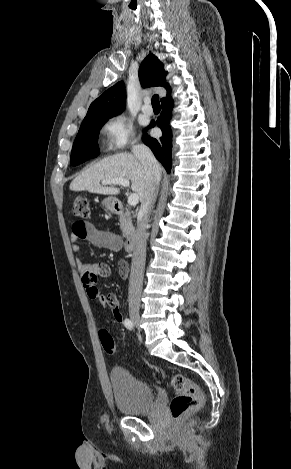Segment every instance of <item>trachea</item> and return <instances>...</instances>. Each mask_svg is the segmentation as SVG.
Returning a JSON list of instances; mask_svg holds the SVG:
<instances>
[{
  "label": "trachea",
  "mask_w": 291,
  "mask_h": 469,
  "mask_svg": "<svg viewBox=\"0 0 291 469\" xmlns=\"http://www.w3.org/2000/svg\"><path fill=\"white\" fill-rule=\"evenodd\" d=\"M152 106L154 108H160L159 96L157 94L153 95L152 97Z\"/></svg>",
  "instance_id": "1"
}]
</instances>
